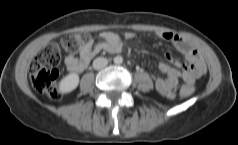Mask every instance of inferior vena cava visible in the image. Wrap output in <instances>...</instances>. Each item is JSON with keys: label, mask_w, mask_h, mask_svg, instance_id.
I'll return each instance as SVG.
<instances>
[{"label": "inferior vena cava", "mask_w": 238, "mask_h": 145, "mask_svg": "<svg viewBox=\"0 0 238 145\" xmlns=\"http://www.w3.org/2000/svg\"><path fill=\"white\" fill-rule=\"evenodd\" d=\"M108 60L104 57H98L93 61V68L95 70L103 69L107 66Z\"/></svg>", "instance_id": "602c4592"}]
</instances>
